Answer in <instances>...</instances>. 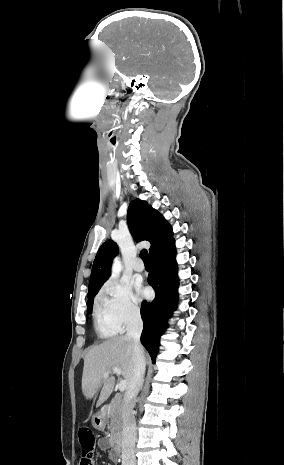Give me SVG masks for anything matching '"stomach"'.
I'll use <instances>...</instances> for the list:
<instances>
[{"label": "stomach", "instance_id": "stomach-1", "mask_svg": "<svg viewBox=\"0 0 284 465\" xmlns=\"http://www.w3.org/2000/svg\"><path fill=\"white\" fill-rule=\"evenodd\" d=\"M91 423L94 427V429H97V431H104L106 425H107V419L105 413L103 411H99V413H95L91 419Z\"/></svg>", "mask_w": 284, "mask_h": 465}]
</instances>
